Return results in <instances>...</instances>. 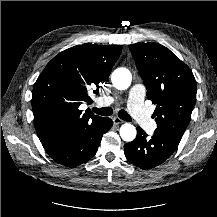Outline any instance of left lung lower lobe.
I'll return each mask as SVG.
<instances>
[{"label": "left lung lower lobe", "mask_w": 217, "mask_h": 217, "mask_svg": "<svg viewBox=\"0 0 217 217\" xmlns=\"http://www.w3.org/2000/svg\"><path fill=\"white\" fill-rule=\"evenodd\" d=\"M181 138L161 129H156L152 137L137 127V137L125 144L127 160L141 169H150L165 162L178 147Z\"/></svg>", "instance_id": "0a47b994"}]
</instances>
